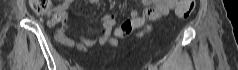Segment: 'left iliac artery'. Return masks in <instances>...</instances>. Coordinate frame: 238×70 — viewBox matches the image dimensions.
Returning <instances> with one entry per match:
<instances>
[{
    "mask_svg": "<svg viewBox=\"0 0 238 70\" xmlns=\"http://www.w3.org/2000/svg\"><path fill=\"white\" fill-rule=\"evenodd\" d=\"M149 69H150V70H157L156 67L153 66V65H149Z\"/></svg>",
    "mask_w": 238,
    "mask_h": 70,
    "instance_id": "44dca946",
    "label": "left iliac artery"
}]
</instances>
